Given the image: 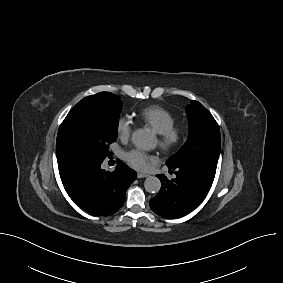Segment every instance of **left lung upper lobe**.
I'll return each instance as SVG.
<instances>
[{
  "label": "left lung upper lobe",
  "instance_id": "obj_1",
  "mask_svg": "<svg viewBox=\"0 0 283 283\" xmlns=\"http://www.w3.org/2000/svg\"><path fill=\"white\" fill-rule=\"evenodd\" d=\"M186 114L188 140L166 165L198 170L213 181L221 146L219 126L211 113L197 101L186 106Z\"/></svg>",
  "mask_w": 283,
  "mask_h": 283
}]
</instances>
